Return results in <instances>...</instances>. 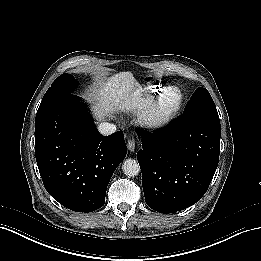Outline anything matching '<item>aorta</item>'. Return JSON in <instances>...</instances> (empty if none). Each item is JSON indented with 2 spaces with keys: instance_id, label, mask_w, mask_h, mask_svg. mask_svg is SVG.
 <instances>
[{
  "instance_id": "1",
  "label": "aorta",
  "mask_w": 261,
  "mask_h": 261,
  "mask_svg": "<svg viewBox=\"0 0 261 261\" xmlns=\"http://www.w3.org/2000/svg\"><path fill=\"white\" fill-rule=\"evenodd\" d=\"M122 171L126 176L134 177L140 173V165L137 160L128 158L122 164Z\"/></svg>"
}]
</instances>
